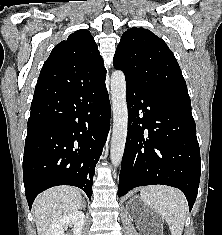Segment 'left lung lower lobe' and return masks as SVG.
Returning <instances> with one entry per match:
<instances>
[{
	"label": "left lung lower lobe",
	"instance_id": "left-lung-lower-lobe-1",
	"mask_svg": "<svg viewBox=\"0 0 222 235\" xmlns=\"http://www.w3.org/2000/svg\"><path fill=\"white\" fill-rule=\"evenodd\" d=\"M128 134L119 176L118 196L138 186L179 188L191 211L201 166L191 109L126 83Z\"/></svg>",
	"mask_w": 222,
	"mask_h": 235
}]
</instances>
